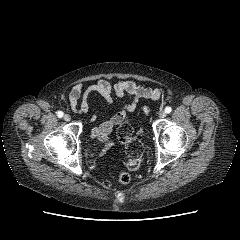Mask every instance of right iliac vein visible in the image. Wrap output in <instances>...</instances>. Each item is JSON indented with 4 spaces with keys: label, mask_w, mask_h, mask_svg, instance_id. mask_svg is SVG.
Returning <instances> with one entry per match:
<instances>
[{
    "label": "right iliac vein",
    "mask_w": 240,
    "mask_h": 240,
    "mask_svg": "<svg viewBox=\"0 0 240 240\" xmlns=\"http://www.w3.org/2000/svg\"><path fill=\"white\" fill-rule=\"evenodd\" d=\"M64 120L65 121H70L71 120V116L69 114H65L64 115Z\"/></svg>",
    "instance_id": "63e3f726"
}]
</instances>
